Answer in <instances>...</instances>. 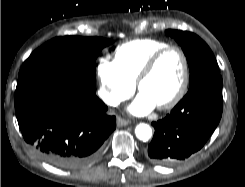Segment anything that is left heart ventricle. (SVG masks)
<instances>
[{
    "label": "left heart ventricle",
    "instance_id": "obj_1",
    "mask_svg": "<svg viewBox=\"0 0 245 187\" xmlns=\"http://www.w3.org/2000/svg\"><path fill=\"white\" fill-rule=\"evenodd\" d=\"M183 64L176 51H169L158 61L152 74L142 83L140 92L146 94L156 106L169 100L178 90Z\"/></svg>",
    "mask_w": 245,
    "mask_h": 187
}]
</instances>
